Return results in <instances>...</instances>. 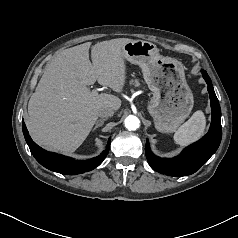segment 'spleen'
I'll use <instances>...</instances> for the list:
<instances>
[{
  "mask_svg": "<svg viewBox=\"0 0 238 238\" xmlns=\"http://www.w3.org/2000/svg\"><path fill=\"white\" fill-rule=\"evenodd\" d=\"M205 127L206 118L204 113L198 110L178 128L173 137L174 141L181 146H186L198 140L204 134Z\"/></svg>",
  "mask_w": 238,
  "mask_h": 238,
  "instance_id": "3e777b00",
  "label": "spleen"
}]
</instances>
